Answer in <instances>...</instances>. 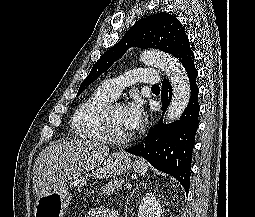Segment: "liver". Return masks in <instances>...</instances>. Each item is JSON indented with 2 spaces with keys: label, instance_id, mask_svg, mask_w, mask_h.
Segmentation results:
<instances>
[{
  "label": "liver",
  "instance_id": "6515ba94",
  "mask_svg": "<svg viewBox=\"0 0 255 217\" xmlns=\"http://www.w3.org/2000/svg\"><path fill=\"white\" fill-rule=\"evenodd\" d=\"M109 148L106 144L73 140L50 145L39 154L33 170V193L41 196L60 188L75 176L101 165Z\"/></svg>",
  "mask_w": 255,
  "mask_h": 217
}]
</instances>
